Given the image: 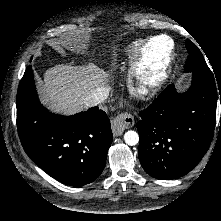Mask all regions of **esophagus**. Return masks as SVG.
Listing matches in <instances>:
<instances>
[{
	"label": "esophagus",
	"instance_id": "1",
	"mask_svg": "<svg viewBox=\"0 0 221 221\" xmlns=\"http://www.w3.org/2000/svg\"><path fill=\"white\" fill-rule=\"evenodd\" d=\"M135 121L132 115L128 113H121L111 121L112 132L114 136L122 135L125 129L131 128Z\"/></svg>",
	"mask_w": 221,
	"mask_h": 221
}]
</instances>
